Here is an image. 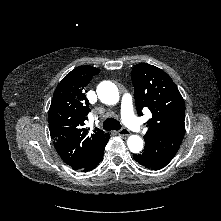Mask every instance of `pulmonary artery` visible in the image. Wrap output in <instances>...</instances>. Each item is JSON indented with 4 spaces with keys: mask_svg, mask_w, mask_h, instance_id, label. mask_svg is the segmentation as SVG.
Here are the masks:
<instances>
[{
    "mask_svg": "<svg viewBox=\"0 0 221 221\" xmlns=\"http://www.w3.org/2000/svg\"><path fill=\"white\" fill-rule=\"evenodd\" d=\"M121 115L125 124L133 131L139 132L141 125L133 112L132 98L130 95L125 94L121 99Z\"/></svg>",
    "mask_w": 221,
    "mask_h": 221,
    "instance_id": "obj_1",
    "label": "pulmonary artery"
}]
</instances>
